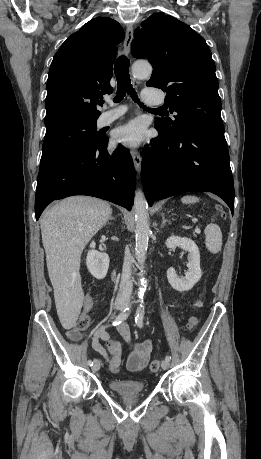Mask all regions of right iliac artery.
<instances>
[{
    "mask_svg": "<svg viewBox=\"0 0 261 459\" xmlns=\"http://www.w3.org/2000/svg\"><path fill=\"white\" fill-rule=\"evenodd\" d=\"M130 314V307L125 308L113 321V325L116 326L120 324L122 321L126 320ZM96 360V359H95ZM94 360V361H95ZM94 361L88 360V365L93 366Z\"/></svg>",
    "mask_w": 261,
    "mask_h": 459,
    "instance_id": "1",
    "label": "right iliac artery"
}]
</instances>
